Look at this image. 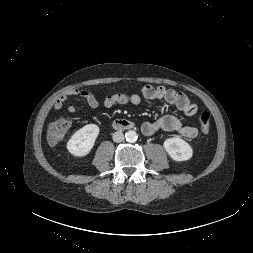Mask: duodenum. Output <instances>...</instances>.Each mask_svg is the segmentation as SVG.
I'll list each match as a JSON object with an SVG mask.
<instances>
[{"label":"duodenum","instance_id":"duodenum-1","mask_svg":"<svg viewBox=\"0 0 253 253\" xmlns=\"http://www.w3.org/2000/svg\"><path fill=\"white\" fill-rule=\"evenodd\" d=\"M112 127L118 130H126L134 128L135 124L127 119H116L112 122Z\"/></svg>","mask_w":253,"mask_h":253}]
</instances>
